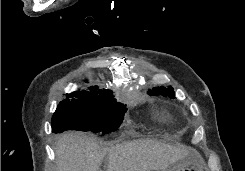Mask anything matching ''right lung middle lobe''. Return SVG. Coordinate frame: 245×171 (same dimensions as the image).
Masks as SVG:
<instances>
[{"label":"right lung middle lobe","mask_w":245,"mask_h":171,"mask_svg":"<svg viewBox=\"0 0 245 171\" xmlns=\"http://www.w3.org/2000/svg\"><path fill=\"white\" fill-rule=\"evenodd\" d=\"M126 105L113 99L60 102L52 117L54 133L66 130L108 134L119 128Z\"/></svg>","instance_id":"obj_1"}]
</instances>
